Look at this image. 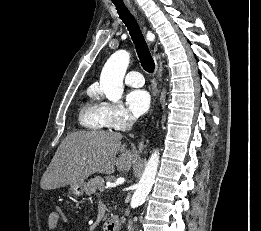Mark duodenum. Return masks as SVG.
Masks as SVG:
<instances>
[{
    "label": "duodenum",
    "mask_w": 261,
    "mask_h": 231,
    "mask_svg": "<svg viewBox=\"0 0 261 231\" xmlns=\"http://www.w3.org/2000/svg\"><path fill=\"white\" fill-rule=\"evenodd\" d=\"M120 219L117 216L110 217L104 222L103 231H119Z\"/></svg>",
    "instance_id": "410a0bca"
}]
</instances>
